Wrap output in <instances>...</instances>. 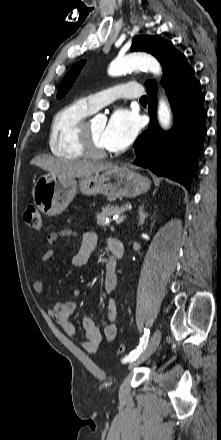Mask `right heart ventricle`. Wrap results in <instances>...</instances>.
<instances>
[{"instance_id":"1","label":"right heart ventricle","mask_w":221,"mask_h":440,"mask_svg":"<svg viewBox=\"0 0 221 440\" xmlns=\"http://www.w3.org/2000/svg\"><path fill=\"white\" fill-rule=\"evenodd\" d=\"M93 112L85 99L72 101L57 111L49 132V148L55 156L73 160L86 157L78 131L81 122Z\"/></svg>"}]
</instances>
